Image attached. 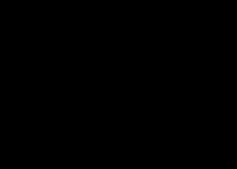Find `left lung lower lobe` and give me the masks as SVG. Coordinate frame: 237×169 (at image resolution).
<instances>
[{
	"label": "left lung lower lobe",
	"instance_id": "1",
	"mask_svg": "<svg viewBox=\"0 0 237 169\" xmlns=\"http://www.w3.org/2000/svg\"><path fill=\"white\" fill-rule=\"evenodd\" d=\"M129 126L138 142L161 148L172 143L185 129L191 115L161 106L154 101L134 98Z\"/></svg>",
	"mask_w": 237,
	"mask_h": 169
}]
</instances>
